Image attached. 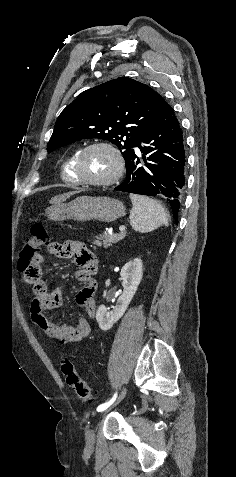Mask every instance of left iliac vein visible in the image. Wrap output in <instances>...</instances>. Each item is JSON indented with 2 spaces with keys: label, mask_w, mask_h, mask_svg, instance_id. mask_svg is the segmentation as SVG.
<instances>
[{
  "label": "left iliac vein",
  "mask_w": 236,
  "mask_h": 477,
  "mask_svg": "<svg viewBox=\"0 0 236 477\" xmlns=\"http://www.w3.org/2000/svg\"><path fill=\"white\" fill-rule=\"evenodd\" d=\"M126 395V389L124 388L121 392V394L119 395L118 397V400L117 402H120ZM117 402H114L112 405H110L108 408H105V409H101L99 411V416H101L102 418H105L107 416V414L109 413H112V411L115 409V407L118 406V403ZM94 442H95V434L92 430H87L86 431V444H87V447L89 448H92L94 446Z\"/></svg>",
  "instance_id": "4c4485c4"
}]
</instances>
